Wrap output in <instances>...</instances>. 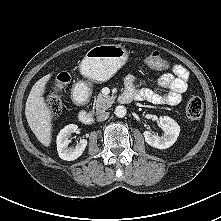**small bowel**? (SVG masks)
I'll use <instances>...</instances> for the list:
<instances>
[{
  "label": "small bowel",
  "instance_id": "c3829d8e",
  "mask_svg": "<svg viewBox=\"0 0 221 221\" xmlns=\"http://www.w3.org/2000/svg\"><path fill=\"white\" fill-rule=\"evenodd\" d=\"M188 71L181 65H174L172 73L163 74L158 81V86L166 89L167 93L161 94L154 89L139 87L134 75L125 77V91L130 100L147 101L159 105H177L188 87Z\"/></svg>",
  "mask_w": 221,
  "mask_h": 221
}]
</instances>
